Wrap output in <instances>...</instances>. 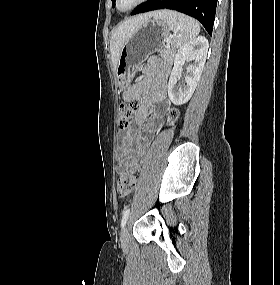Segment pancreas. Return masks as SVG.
Returning a JSON list of instances; mask_svg holds the SVG:
<instances>
[{
	"mask_svg": "<svg viewBox=\"0 0 280 285\" xmlns=\"http://www.w3.org/2000/svg\"><path fill=\"white\" fill-rule=\"evenodd\" d=\"M160 55L166 62L171 63L174 59L175 49L165 46V49L160 51Z\"/></svg>",
	"mask_w": 280,
	"mask_h": 285,
	"instance_id": "cf45deb5",
	"label": "pancreas"
}]
</instances>
